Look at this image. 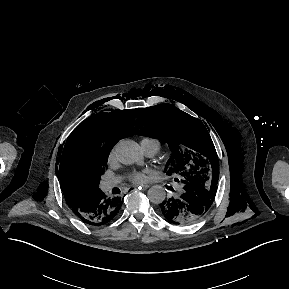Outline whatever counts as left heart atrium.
I'll return each instance as SVG.
<instances>
[{"mask_svg":"<svg viewBox=\"0 0 289 289\" xmlns=\"http://www.w3.org/2000/svg\"><path fill=\"white\" fill-rule=\"evenodd\" d=\"M151 174H152V172L150 170H143V171H140V172H135L131 176V180L134 183H144V182L149 180Z\"/></svg>","mask_w":289,"mask_h":289,"instance_id":"1","label":"left heart atrium"}]
</instances>
